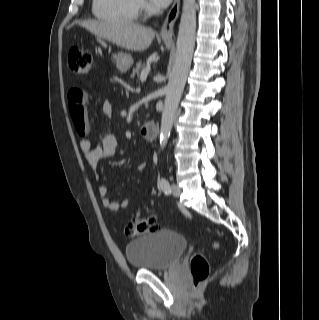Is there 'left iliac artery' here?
<instances>
[{
  "label": "left iliac artery",
  "instance_id": "44dca946",
  "mask_svg": "<svg viewBox=\"0 0 319 320\" xmlns=\"http://www.w3.org/2000/svg\"><path fill=\"white\" fill-rule=\"evenodd\" d=\"M160 187H161V189L163 190V192H164L166 195H170V194H171L170 184H169L168 180H166L165 178H162V179H161V181H160Z\"/></svg>",
  "mask_w": 319,
  "mask_h": 320
}]
</instances>
